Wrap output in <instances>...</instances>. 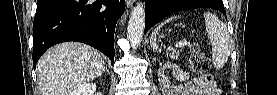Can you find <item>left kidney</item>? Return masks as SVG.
<instances>
[{"mask_svg": "<svg viewBox=\"0 0 277 95\" xmlns=\"http://www.w3.org/2000/svg\"><path fill=\"white\" fill-rule=\"evenodd\" d=\"M166 69V66H163L162 68H160L158 70V80H159V84L162 87L164 92H169V93H173L176 92V90H173L170 87V81L168 80V78L165 76L164 74V70Z\"/></svg>", "mask_w": 277, "mask_h": 95, "instance_id": "obj_1", "label": "left kidney"}]
</instances>
